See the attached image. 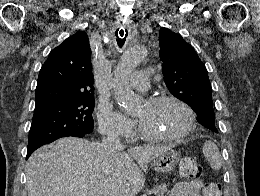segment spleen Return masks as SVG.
<instances>
[{
	"label": "spleen",
	"mask_w": 260,
	"mask_h": 196,
	"mask_svg": "<svg viewBox=\"0 0 260 196\" xmlns=\"http://www.w3.org/2000/svg\"><path fill=\"white\" fill-rule=\"evenodd\" d=\"M203 154L205 158H207L212 170H221L222 158L214 142H211V140L205 142L203 146Z\"/></svg>",
	"instance_id": "obj_1"
}]
</instances>
